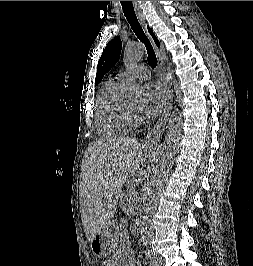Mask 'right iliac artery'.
Masks as SVG:
<instances>
[{
    "label": "right iliac artery",
    "instance_id": "82829eb1",
    "mask_svg": "<svg viewBox=\"0 0 253 266\" xmlns=\"http://www.w3.org/2000/svg\"><path fill=\"white\" fill-rule=\"evenodd\" d=\"M148 254H149L150 261H151V265L152 266H158V261H157V257L155 254L154 247L148 248Z\"/></svg>",
    "mask_w": 253,
    "mask_h": 266
}]
</instances>
